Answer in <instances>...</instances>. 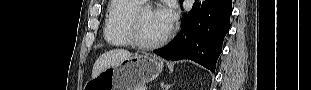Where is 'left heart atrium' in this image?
<instances>
[{"label": "left heart atrium", "mask_w": 311, "mask_h": 90, "mask_svg": "<svg viewBox=\"0 0 311 90\" xmlns=\"http://www.w3.org/2000/svg\"><path fill=\"white\" fill-rule=\"evenodd\" d=\"M157 16L164 25V27L169 31L177 18V13L175 6L173 4L167 5L157 11Z\"/></svg>", "instance_id": "left-heart-atrium-1"}]
</instances>
